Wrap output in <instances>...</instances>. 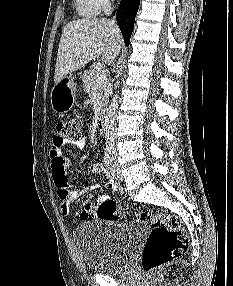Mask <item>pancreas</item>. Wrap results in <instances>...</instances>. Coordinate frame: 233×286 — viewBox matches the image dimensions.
I'll list each match as a JSON object with an SVG mask.
<instances>
[{"mask_svg":"<svg viewBox=\"0 0 233 286\" xmlns=\"http://www.w3.org/2000/svg\"><path fill=\"white\" fill-rule=\"evenodd\" d=\"M97 69L92 68L83 73V87L84 90L90 95L91 99H94V95L97 96L96 105L101 108L106 100L107 91V79L103 81H96Z\"/></svg>","mask_w":233,"mask_h":286,"instance_id":"1","label":"pancreas"}]
</instances>
